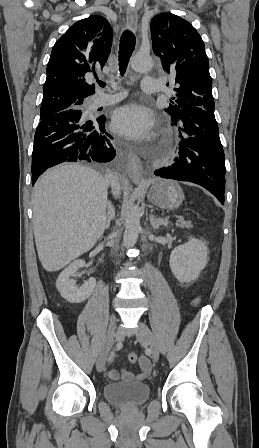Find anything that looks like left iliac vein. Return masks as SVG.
Wrapping results in <instances>:
<instances>
[{
    "mask_svg": "<svg viewBox=\"0 0 259 448\" xmlns=\"http://www.w3.org/2000/svg\"><path fill=\"white\" fill-rule=\"evenodd\" d=\"M137 339L141 343L147 344L151 350L152 358L154 361H158L159 359V348L156 342V339L149 329V327L143 323L139 322V326L136 331Z\"/></svg>",
    "mask_w": 259,
    "mask_h": 448,
    "instance_id": "1",
    "label": "left iliac vein"
}]
</instances>
